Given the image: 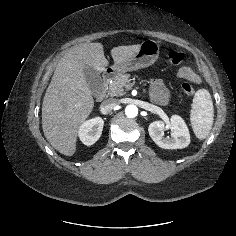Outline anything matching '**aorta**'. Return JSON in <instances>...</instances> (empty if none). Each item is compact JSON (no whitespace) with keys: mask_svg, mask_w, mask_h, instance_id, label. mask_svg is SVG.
<instances>
[{"mask_svg":"<svg viewBox=\"0 0 236 236\" xmlns=\"http://www.w3.org/2000/svg\"><path fill=\"white\" fill-rule=\"evenodd\" d=\"M125 114L130 118H134L138 114V108L132 104L127 105L125 108Z\"/></svg>","mask_w":236,"mask_h":236,"instance_id":"obj_1","label":"aorta"}]
</instances>
